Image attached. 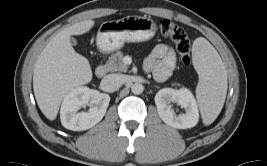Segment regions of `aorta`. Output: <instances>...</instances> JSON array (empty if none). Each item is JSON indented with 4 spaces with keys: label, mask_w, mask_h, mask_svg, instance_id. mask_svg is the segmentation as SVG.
I'll list each match as a JSON object with an SVG mask.
<instances>
[{
    "label": "aorta",
    "mask_w": 267,
    "mask_h": 166,
    "mask_svg": "<svg viewBox=\"0 0 267 166\" xmlns=\"http://www.w3.org/2000/svg\"><path fill=\"white\" fill-rule=\"evenodd\" d=\"M144 90V87L142 84L140 83H134L132 86H131V91L133 94H141Z\"/></svg>",
    "instance_id": "obj_1"
}]
</instances>
